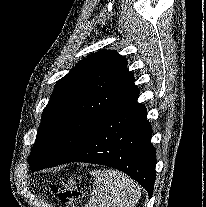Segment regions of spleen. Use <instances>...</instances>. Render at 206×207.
<instances>
[{"mask_svg":"<svg viewBox=\"0 0 206 207\" xmlns=\"http://www.w3.org/2000/svg\"><path fill=\"white\" fill-rule=\"evenodd\" d=\"M93 188L86 207H135L140 187L128 176L112 169L92 173Z\"/></svg>","mask_w":206,"mask_h":207,"instance_id":"obj_1","label":"spleen"}]
</instances>
